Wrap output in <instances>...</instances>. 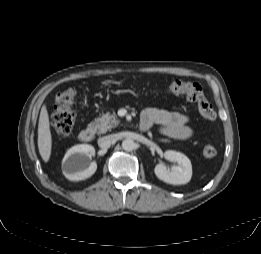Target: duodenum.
Instances as JSON below:
<instances>
[{"mask_svg": "<svg viewBox=\"0 0 261 254\" xmlns=\"http://www.w3.org/2000/svg\"><path fill=\"white\" fill-rule=\"evenodd\" d=\"M140 128H141V126H140ZM142 131H144V130H142ZM94 136H95V129L93 127L84 129L79 133V139L84 143L91 142L93 140Z\"/></svg>", "mask_w": 261, "mask_h": 254, "instance_id": "1", "label": "duodenum"}]
</instances>
